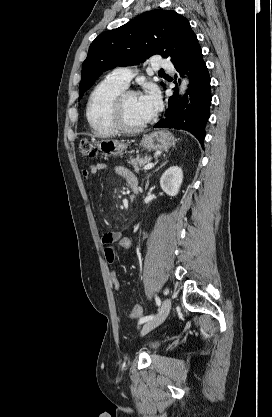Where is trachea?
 <instances>
[{"label": "trachea", "instance_id": "obj_1", "mask_svg": "<svg viewBox=\"0 0 272 417\" xmlns=\"http://www.w3.org/2000/svg\"><path fill=\"white\" fill-rule=\"evenodd\" d=\"M159 73H164V71L163 70H160Z\"/></svg>", "mask_w": 272, "mask_h": 417}]
</instances>
